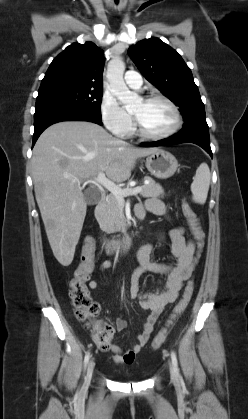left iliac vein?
Instances as JSON below:
<instances>
[{"instance_id": "4c4485c4", "label": "left iliac vein", "mask_w": 248, "mask_h": 419, "mask_svg": "<svg viewBox=\"0 0 248 419\" xmlns=\"http://www.w3.org/2000/svg\"><path fill=\"white\" fill-rule=\"evenodd\" d=\"M169 369H170L171 377L173 379H175L176 378V372H175V370H174L173 365L171 364V362H169Z\"/></svg>"}]
</instances>
